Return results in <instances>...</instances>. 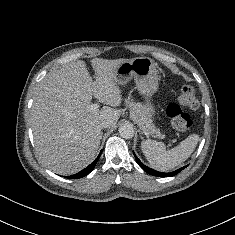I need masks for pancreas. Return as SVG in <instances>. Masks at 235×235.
Returning <instances> with one entry per match:
<instances>
[{"mask_svg": "<svg viewBox=\"0 0 235 235\" xmlns=\"http://www.w3.org/2000/svg\"><path fill=\"white\" fill-rule=\"evenodd\" d=\"M126 105L130 108L131 119L142 131L151 135L159 133L152 123L151 115L141 103H135L127 100Z\"/></svg>", "mask_w": 235, "mask_h": 235, "instance_id": "obj_1", "label": "pancreas"}]
</instances>
